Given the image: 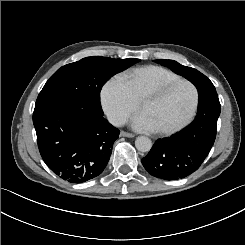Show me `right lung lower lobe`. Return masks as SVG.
Segmentation results:
<instances>
[{"instance_id":"right-lung-lower-lobe-1","label":"right lung lower lobe","mask_w":245,"mask_h":245,"mask_svg":"<svg viewBox=\"0 0 245 245\" xmlns=\"http://www.w3.org/2000/svg\"><path fill=\"white\" fill-rule=\"evenodd\" d=\"M33 124L44 162L71 183H82L102 173L120 132L103 116L72 104L34 109Z\"/></svg>"}]
</instances>
